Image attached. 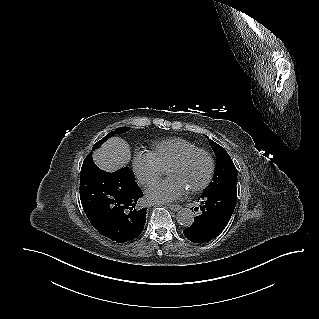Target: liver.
Returning a JSON list of instances; mask_svg holds the SVG:
<instances>
[{
  "label": "liver",
  "mask_w": 319,
  "mask_h": 319,
  "mask_svg": "<svg viewBox=\"0 0 319 319\" xmlns=\"http://www.w3.org/2000/svg\"><path fill=\"white\" fill-rule=\"evenodd\" d=\"M93 159L102 170L114 172L129 163L131 159L130 147L125 140L112 137L93 153Z\"/></svg>",
  "instance_id": "6515ba94"
}]
</instances>
